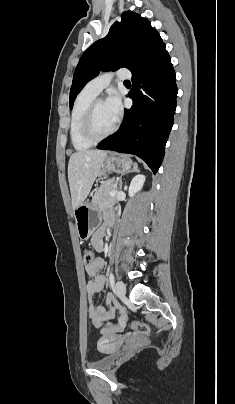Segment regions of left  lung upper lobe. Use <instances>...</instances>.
<instances>
[{
	"label": "left lung upper lobe",
	"instance_id": "left-lung-upper-lobe-1",
	"mask_svg": "<svg viewBox=\"0 0 235 404\" xmlns=\"http://www.w3.org/2000/svg\"><path fill=\"white\" fill-rule=\"evenodd\" d=\"M164 45L148 20L134 12H124L121 22H115L108 35L93 43L81 56L70 89V108L83 86L101 70L125 67L133 72Z\"/></svg>",
	"mask_w": 235,
	"mask_h": 404
}]
</instances>
